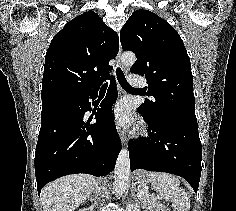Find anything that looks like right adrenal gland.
I'll use <instances>...</instances> for the list:
<instances>
[{"label": "right adrenal gland", "mask_w": 236, "mask_h": 211, "mask_svg": "<svg viewBox=\"0 0 236 211\" xmlns=\"http://www.w3.org/2000/svg\"><path fill=\"white\" fill-rule=\"evenodd\" d=\"M95 187H96V190H95L94 194H92L91 196L88 197V199H90V200H94V198L98 197V193L100 191L98 184H95Z\"/></svg>", "instance_id": "1"}]
</instances>
